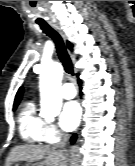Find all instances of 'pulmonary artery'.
<instances>
[{"label": "pulmonary artery", "mask_w": 135, "mask_h": 166, "mask_svg": "<svg viewBox=\"0 0 135 166\" xmlns=\"http://www.w3.org/2000/svg\"><path fill=\"white\" fill-rule=\"evenodd\" d=\"M61 94H62V97L66 98V99H71V98L75 97V95H76L75 87L73 86L72 83L65 82L62 85Z\"/></svg>", "instance_id": "pulmonary-artery-1"}]
</instances>
